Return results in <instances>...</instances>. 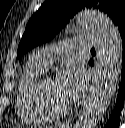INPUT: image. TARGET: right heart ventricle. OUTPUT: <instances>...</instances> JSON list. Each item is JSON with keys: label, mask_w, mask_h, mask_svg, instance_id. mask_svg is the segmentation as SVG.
<instances>
[{"label": "right heart ventricle", "mask_w": 125, "mask_h": 128, "mask_svg": "<svg viewBox=\"0 0 125 128\" xmlns=\"http://www.w3.org/2000/svg\"><path fill=\"white\" fill-rule=\"evenodd\" d=\"M45 69L31 60L23 68L17 85L16 111L21 119L33 124H43L51 117L39 106L35 86Z\"/></svg>", "instance_id": "obj_1"}]
</instances>
